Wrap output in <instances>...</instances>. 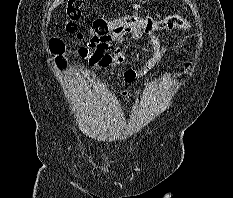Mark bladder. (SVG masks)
Segmentation results:
<instances>
[{
  "mask_svg": "<svg viewBox=\"0 0 233 198\" xmlns=\"http://www.w3.org/2000/svg\"><path fill=\"white\" fill-rule=\"evenodd\" d=\"M102 122L98 117H91L89 118L86 123H85V127L89 132H98L101 130L102 128Z\"/></svg>",
  "mask_w": 233,
  "mask_h": 198,
  "instance_id": "obj_1",
  "label": "bladder"
}]
</instances>
